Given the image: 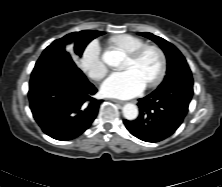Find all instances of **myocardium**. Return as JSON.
<instances>
[{"instance_id": "obj_1", "label": "myocardium", "mask_w": 222, "mask_h": 187, "mask_svg": "<svg viewBox=\"0 0 222 187\" xmlns=\"http://www.w3.org/2000/svg\"><path fill=\"white\" fill-rule=\"evenodd\" d=\"M148 50H153L155 51L160 58V68L158 71V74L154 79H152L150 82H148L145 87L146 88H152L157 85H159L165 78L166 73H167V67H168V60H167V55L165 51L156 44H144L137 48L135 51H133L130 54H127V57L132 60L133 62H137L140 60V58L143 56V54L148 51Z\"/></svg>"}]
</instances>
